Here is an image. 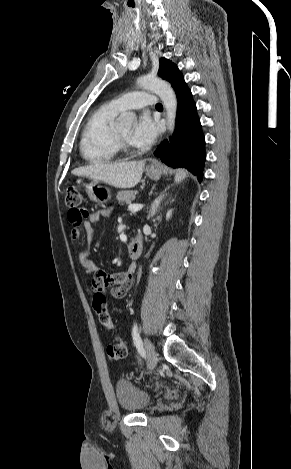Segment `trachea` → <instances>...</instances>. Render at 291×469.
<instances>
[{"instance_id":"1","label":"trachea","mask_w":291,"mask_h":469,"mask_svg":"<svg viewBox=\"0 0 291 469\" xmlns=\"http://www.w3.org/2000/svg\"><path fill=\"white\" fill-rule=\"evenodd\" d=\"M162 107V104L158 103L156 104V108H161Z\"/></svg>"}]
</instances>
